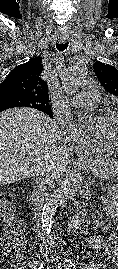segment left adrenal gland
<instances>
[{"mask_svg": "<svg viewBox=\"0 0 118 269\" xmlns=\"http://www.w3.org/2000/svg\"><path fill=\"white\" fill-rule=\"evenodd\" d=\"M90 185H91V184H89V186L87 187L86 192H89V190H88V189H90Z\"/></svg>", "mask_w": 118, "mask_h": 269, "instance_id": "1", "label": "left adrenal gland"}]
</instances>
